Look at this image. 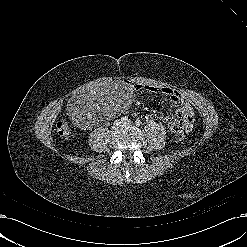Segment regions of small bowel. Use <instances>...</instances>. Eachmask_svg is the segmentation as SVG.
I'll return each mask as SVG.
<instances>
[{
  "mask_svg": "<svg viewBox=\"0 0 247 247\" xmlns=\"http://www.w3.org/2000/svg\"><path fill=\"white\" fill-rule=\"evenodd\" d=\"M138 87L142 90L165 94L178 106L177 117L168 116L163 119L171 130H184L189 132L192 129L194 123V110L184 95L172 88L160 85H141ZM152 118L155 117L153 116Z\"/></svg>",
  "mask_w": 247,
  "mask_h": 247,
  "instance_id": "small-bowel-1",
  "label": "small bowel"
}]
</instances>
